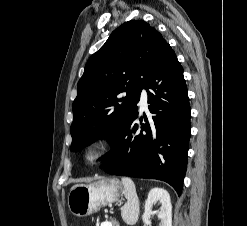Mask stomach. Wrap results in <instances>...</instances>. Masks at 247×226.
<instances>
[{"instance_id":"stomach-1","label":"stomach","mask_w":247,"mask_h":226,"mask_svg":"<svg viewBox=\"0 0 247 226\" xmlns=\"http://www.w3.org/2000/svg\"><path fill=\"white\" fill-rule=\"evenodd\" d=\"M122 193L123 187L115 178H102L89 184L75 185L68 195V207L75 216H88L117 201Z\"/></svg>"}]
</instances>
